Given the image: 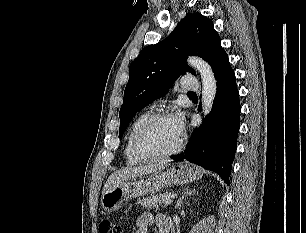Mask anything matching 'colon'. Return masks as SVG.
Returning <instances> with one entry per match:
<instances>
[{
	"label": "colon",
	"mask_w": 306,
	"mask_h": 233,
	"mask_svg": "<svg viewBox=\"0 0 306 233\" xmlns=\"http://www.w3.org/2000/svg\"><path fill=\"white\" fill-rule=\"evenodd\" d=\"M100 233H122L121 228L112 221H103L99 227Z\"/></svg>",
	"instance_id": "1"
}]
</instances>
